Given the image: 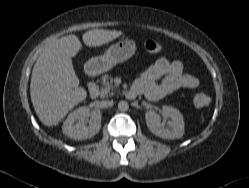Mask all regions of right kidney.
Masks as SVG:
<instances>
[{"label":"right kidney","instance_id":"1","mask_svg":"<svg viewBox=\"0 0 249 188\" xmlns=\"http://www.w3.org/2000/svg\"><path fill=\"white\" fill-rule=\"evenodd\" d=\"M90 118L89 125L86 120ZM100 110L90 111L88 107H80L69 114L63 124V133L71 139L85 140L96 135L101 129Z\"/></svg>","mask_w":249,"mask_h":188}]
</instances>
